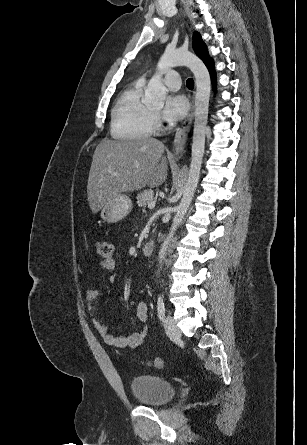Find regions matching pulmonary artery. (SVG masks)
I'll return each mask as SVG.
<instances>
[{
	"instance_id": "e3ab8cb5",
	"label": "pulmonary artery",
	"mask_w": 307,
	"mask_h": 445,
	"mask_svg": "<svg viewBox=\"0 0 307 445\" xmlns=\"http://www.w3.org/2000/svg\"><path fill=\"white\" fill-rule=\"evenodd\" d=\"M182 78V72L179 69H172L165 73V84L173 89L176 90L180 87Z\"/></svg>"
}]
</instances>
